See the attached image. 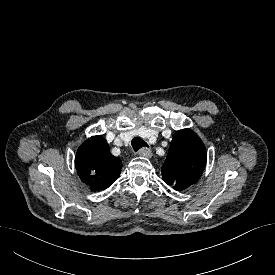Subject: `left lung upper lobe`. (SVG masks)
Instances as JSON below:
<instances>
[{"label":"left lung upper lobe","mask_w":275,"mask_h":275,"mask_svg":"<svg viewBox=\"0 0 275 275\" xmlns=\"http://www.w3.org/2000/svg\"><path fill=\"white\" fill-rule=\"evenodd\" d=\"M206 148L199 136L190 129L177 131L162 165L163 180L175 190H184L196 183L206 165Z\"/></svg>","instance_id":"1"}]
</instances>
